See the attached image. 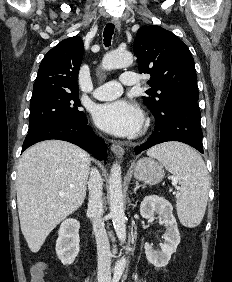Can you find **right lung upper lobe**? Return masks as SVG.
Returning <instances> with one entry per match:
<instances>
[{"mask_svg": "<svg viewBox=\"0 0 232 282\" xmlns=\"http://www.w3.org/2000/svg\"><path fill=\"white\" fill-rule=\"evenodd\" d=\"M83 52V42L78 36L67 38L52 48L40 63L33 91H78Z\"/></svg>", "mask_w": 232, "mask_h": 282, "instance_id": "1", "label": "right lung upper lobe"}]
</instances>
